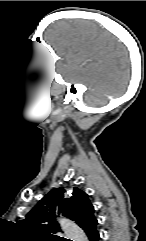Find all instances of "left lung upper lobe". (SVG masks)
Segmentation results:
<instances>
[{"instance_id": "obj_1", "label": "left lung upper lobe", "mask_w": 146, "mask_h": 241, "mask_svg": "<svg viewBox=\"0 0 146 241\" xmlns=\"http://www.w3.org/2000/svg\"><path fill=\"white\" fill-rule=\"evenodd\" d=\"M60 214L75 221L82 229L96 220L94 207L89 201L88 195L83 190L74 187L72 190L53 189L20 223L24 229L34 233L41 240L62 241L65 239L54 235L61 231L55 220L56 216Z\"/></svg>"}]
</instances>
